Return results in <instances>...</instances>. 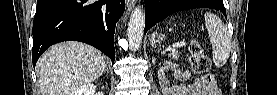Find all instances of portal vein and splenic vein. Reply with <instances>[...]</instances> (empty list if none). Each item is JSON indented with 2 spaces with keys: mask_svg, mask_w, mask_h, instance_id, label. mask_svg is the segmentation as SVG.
Wrapping results in <instances>:
<instances>
[{
  "mask_svg": "<svg viewBox=\"0 0 277 95\" xmlns=\"http://www.w3.org/2000/svg\"><path fill=\"white\" fill-rule=\"evenodd\" d=\"M186 43L185 42H176L172 45V47L169 50H173L174 48H181L183 46H185Z\"/></svg>",
  "mask_w": 277,
  "mask_h": 95,
  "instance_id": "18ae733b",
  "label": "portal vein and splenic vein"
}]
</instances>
